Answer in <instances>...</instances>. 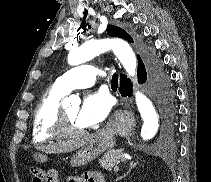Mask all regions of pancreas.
<instances>
[{"label":"pancreas","instance_id":"obj_1","mask_svg":"<svg viewBox=\"0 0 211 182\" xmlns=\"http://www.w3.org/2000/svg\"><path fill=\"white\" fill-rule=\"evenodd\" d=\"M125 158L122 155L121 149L117 150H109L105 153V155L100 159V165L104 169H111L114 167L119 161H124Z\"/></svg>","mask_w":211,"mask_h":182}]
</instances>
